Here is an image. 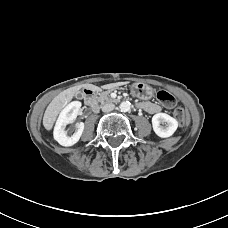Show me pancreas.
<instances>
[{
    "instance_id": "pancreas-1",
    "label": "pancreas",
    "mask_w": 228,
    "mask_h": 228,
    "mask_svg": "<svg viewBox=\"0 0 228 228\" xmlns=\"http://www.w3.org/2000/svg\"><path fill=\"white\" fill-rule=\"evenodd\" d=\"M120 90L121 88L119 87H115V88H112L111 90H104L101 92V94L99 95L98 97V101L103 105L105 103H111L113 102V99H111L109 97V93L112 92V91H116V90ZM123 91L125 90L124 88L122 89Z\"/></svg>"
}]
</instances>
